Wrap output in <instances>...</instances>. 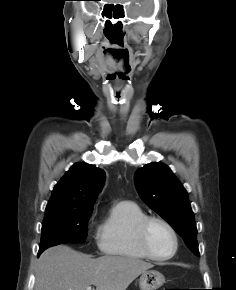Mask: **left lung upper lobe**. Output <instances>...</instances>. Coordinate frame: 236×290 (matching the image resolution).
Instances as JSON below:
<instances>
[{
	"label": "left lung upper lobe",
	"mask_w": 236,
	"mask_h": 290,
	"mask_svg": "<svg viewBox=\"0 0 236 290\" xmlns=\"http://www.w3.org/2000/svg\"><path fill=\"white\" fill-rule=\"evenodd\" d=\"M137 191L142 200L183 238L196 256H200L197 228L188 195L168 166L150 163L135 173Z\"/></svg>",
	"instance_id": "left-lung-upper-lobe-1"
}]
</instances>
